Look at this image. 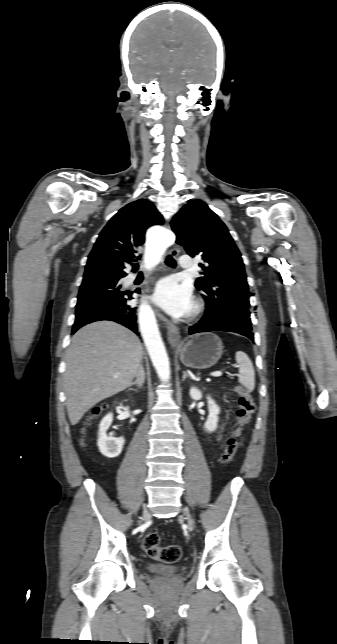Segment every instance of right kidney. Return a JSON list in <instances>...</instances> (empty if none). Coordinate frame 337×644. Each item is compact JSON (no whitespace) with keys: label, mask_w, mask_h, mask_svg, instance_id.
Wrapping results in <instances>:
<instances>
[{"label":"right kidney","mask_w":337,"mask_h":644,"mask_svg":"<svg viewBox=\"0 0 337 644\" xmlns=\"http://www.w3.org/2000/svg\"><path fill=\"white\" fill-rule=\"evenodd\" d=\"M113 421V414L109 413L107 414L102 421L100 422L99 425V433H98V441L97 445L99 447L100 452L108 457V458H115L120 455L123 449L124 445V438L119 437H109L106 432L111 426Z\"/></svg>","instance_id":"ca27d5eb"}]
</instances>
